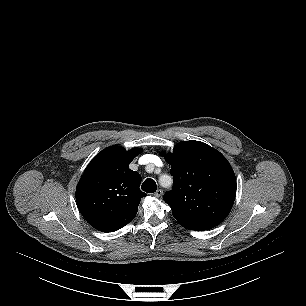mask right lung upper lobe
Here are the masks:
<instances>
[{"label":"right lung upper lobe","mask_w":306,"mask_h":306,"mask_svg":"<svg viewBox=\"0 0 306 306\" xmlns=\"http://www.w3.org/2000/svg\"><path fill=\"white\" fill-rule=\"evenodd\" d=\"M141 151L110 146L87 166L76 188V201L82 216L95 229L117 231L136 216L146 193L139 188L140 174L129 169V164Z\"/></svg>","instance_id":"cb5924a9"}]
</instances>
